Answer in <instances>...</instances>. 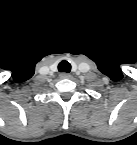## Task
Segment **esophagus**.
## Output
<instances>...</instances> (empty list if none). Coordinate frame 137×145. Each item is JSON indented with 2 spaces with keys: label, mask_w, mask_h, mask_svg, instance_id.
I'll use <instances>...</instances> for the list:
<instances>
[{
  "label": "esophagus",
  "mask_w": 137,
  "mask_h": 145,
  "mask_svg": "<svg viewBox=\"0 0 137 145\" xmlns=\"http://www.w3.org/2000/svg\"><path fill=\"white\" fill-rule=\"evenodd\" d=\"M59 76H60V78H61V79H68V78H70V77H71V75H70V74L65 73V72L61 73Z\"/></svg>",
  "instance_id": "34e87169"
}]
</instances>
